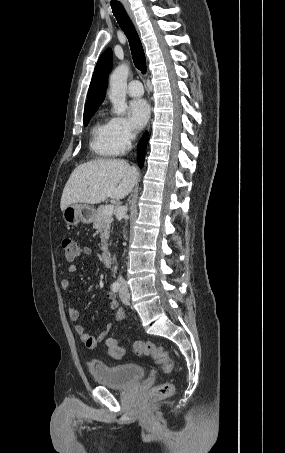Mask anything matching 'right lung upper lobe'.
<instances>
[{
	"label": "right lung upper lobe",
	"mask_w": 285,
	"mask_h": 453,
	"mask_svg": "<svg viewBox=\"0 0 285 453\" xmlns=\"http://www.w3.org/2000/svg\"><path fill=\"white\" fill-rule=\"evenodd\" d=\"M112 67V50L106 49L99 58L89 86L84 113L97 110L105 98L108 76Z\"/></svg>",
	"instance_id": "right-lung-upper-lobe-1"
}]
</instances>
